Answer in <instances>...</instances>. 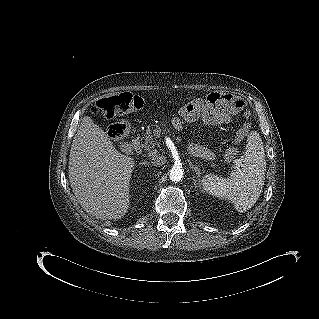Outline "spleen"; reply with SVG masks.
Here are the masks:
<instances>
[{
	"instance_id": "spleen-1",
	"label": "spleen",
	"mask_w": 319,
	"mask_h": 319,
	"mask_svg": "<svg viewBox=\"0 0 319 319\" xmlns=\"http://www.w3.org/2000/svg\"><path fill=\"white\" fill-rule=\"evenodd\" d=\"M265 172L262 139L259 133L252 131L247 137L244 156L230 177L225 179L208 174L202 178L201 184L208 194L231 201L237 211L243 212L258 200L264 185Z\"/></svg>"
}]
</instances>
